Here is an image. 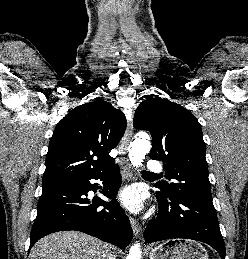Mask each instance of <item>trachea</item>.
<instances>
[{
	"label": "trachea",
	"mask_w": 248,
	"mask_h": 259,
	"mask_svg": "<svg viewBox=\"0 0 248 259\" xmlns=\"http://www.w3.org/2000/svg\"><path fill=\"white\" fill-rule=\"evenodd\" d=\"M143 174H147V175H155L157 176L156 174H153V173H150V172H147V171H142Z\"/></svg>",
	"instance_id": "1"
}]
</instances>
